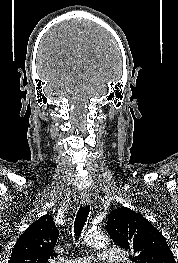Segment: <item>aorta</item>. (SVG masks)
<instances>
[{"instance_id":"762f6f07","label":"aorta","mask_w":178,"mask_h":263,"mask_svg":"<svg viewBox=\"0 0 178 263\" xmlns=\"http://www.w3.org/2000/svg\"><path fill=\"white\" fill-rule=\"evenodd\" d=\"M85 242L91 246L101 248L106 247L109 243V238L106 234L92 231L86 234Z\"/></svg>"}]
</instances>
